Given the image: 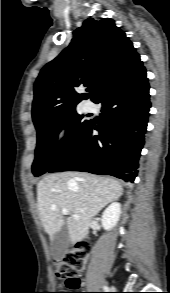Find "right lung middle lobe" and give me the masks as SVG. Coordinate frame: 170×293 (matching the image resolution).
<instances>
[{"instance_id": "1", "label": "right lung middle lobe", "mask_w": 170, "mask_h": 293, "mask_svg": "<svg viewBox=\"0 0 170 293\" xmlns=\"http://www.w3.org/2000/svg\"><path fill=\"white\" fill-rule=\"evenodd\" d=\"M87 123V120H83V115H79L75 109H71L37 128V147L32 165L33 174L40 176L49 171L72 145ZM63 128L66 129V136L58 143V134Z\"/></svg>"}]
</instances>
